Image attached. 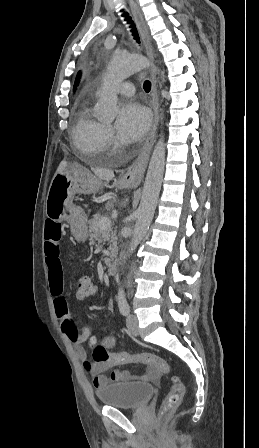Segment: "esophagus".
<instances>
[{
  "mask_svg": "<svg viewBox=\"0 0 259 448\" xmlns=\"http://www.w3.org/2000/svg\"><path fill=\"white\" fill-rule=\"evenodd\" d=\"M129 4L133 13V16L138 24L141 37L144 43V47L146 50V53L148 57L151 60H154L153 55V49L151 44V39L148 31V27L145 24L143 17L139 11V8L137 7L134 0H129ZM151 80H152V110H153V125L152 129L150 131V134L146 140V143L144 144L143 148L141 149L138 157L136 160L130 165L126 171V173L123 175V179L130 183V184H139L144 176V172L146 170L150 152L156 137L158 122H159V97L157 92V86H156V78L154 73V68H151Z\"/></svg>",
  "mask_w": 259,
  "mask_h": 448,
  "instance_id": "34e87169",
  "label": "esophagus"
}]
</instances>
